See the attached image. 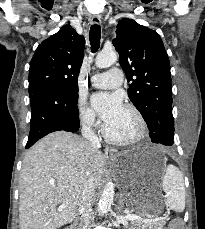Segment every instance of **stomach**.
Wrapping results in <instances>:
<instances>
[{"mask_svg":"<svg viewBox=\"0 0 205 229\" xmlns=\"http://www.w3.org/2000/svg\"><path fill=\"white\" fill-rule=\"evenodd\" d=\"M165 167V157L150 148H137L117 156L114 168L129 206L147 211L160 202L153 185L162 177Z\"/></svg>","mask_w":205,"mask_h":229,"instance_id":"obj_1","label":"stomach"}]
</instances>
